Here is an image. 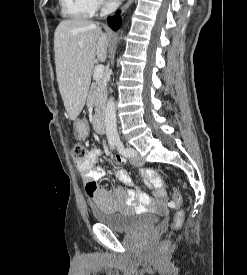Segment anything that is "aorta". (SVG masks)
Instances as JSON below:
<instances>
[{
	"label": "aorta",
	"mask_w": 247,
	"mask_h": 275,
	"mask_svg": "<svg viewBox=\"0 0 247 275\" xmlns=\"http://www.w3.org/2000/svg\"><path fill=\"white\" fill-rule=\"evenodd\" d=\"M104 116L107 139L110 141L119 139L117 132L116 108L113 97H110L107 102Z\"/></svg>",
	"instance_id": "762f6f07"
}]
</instances>
